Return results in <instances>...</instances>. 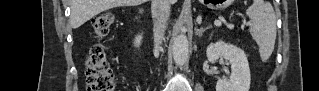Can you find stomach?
I'll return each mask as SVG.
<instances>
[{
    "instance_id": "1",
    "label": "stomach",
    "mask_w": 319,
    "mask_h": 91,
    "mask_svg": "<svg viewBox=\"0 0 319 91\" xmlns=\"http://www.w3.org/2000/svg\"><path fill=\"white\" fill-rule=\"evenodd\" d=\"M207 4H208L209 7L216 8V9L225 7L224 1H212L211 3L208 2Z\"/></svg>"
}]
</instances>
